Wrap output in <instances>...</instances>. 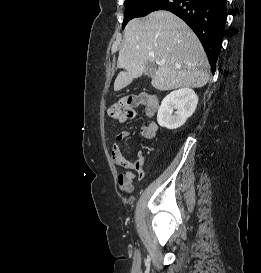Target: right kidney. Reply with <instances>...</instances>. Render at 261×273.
Returning a JSON list of instances; mask_svg holds the SVG:
<instances>
[{
	"label": "right kidney",
	"instance_id": "ca27d5eb",
	"mask_svg": "<svg viewBox=\"0 0 261 273\" xmlns=\"http://www.w3.org/2000/svg\"><path fill=\"white\" fill-rule=\"evenodd\" d=\"M198 104V96L190 88H181L169 93L161 102L157 122L161 127L174 130L192 116ZM174 109L177 110L174 114Z\"/></svg>",
	"mask_w": 261,
	"mask_h": 273
}]
</instances>
